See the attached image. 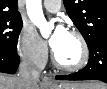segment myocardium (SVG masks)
<instances>
[{
	"label": "myocardium",
	"mask_w": 107,
	"mask_h": 89,
	"mask_svg": "<svg viewBox=\"0 0 107 89\" xmlns=\"http://www.w3.org/2000/svg\"><path fill=\"white\" fill-rule=\"evenodd\" d=\"M67 33L71 34L78 40L80 47H81V58L76 64L66 65V64L61 63L57 59L55 52H53V55H52L53 63L58 69L63 70V71H67V72L79 71L82 68H84L86 64L88 63L89 55H90L89 47H88L85 37L78 30L69 29L67 30Z\"/></svg>",
	"instance_id": "obj_1"
}]
</instances>
